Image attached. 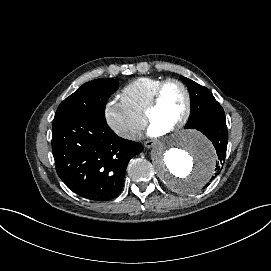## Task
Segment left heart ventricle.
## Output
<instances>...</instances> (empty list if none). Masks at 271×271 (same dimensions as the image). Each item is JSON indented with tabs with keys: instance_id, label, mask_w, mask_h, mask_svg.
I'll list each match as a JSON object with an SVG mask.
<instances>
[{
	"instance_id": "1",
	"label": "left heart ventricle",
	"mask_w": 271,
	"mask_h": 271,
	"mask_svg": "<svg viewBox=\"0 0 271 271\" xmlns=\"http://www.w3.org/2000/svg\"><path fill=\"white\" fill-rule=\"evenodd\" d=\"M186 108L187 98L182 87L169 83L162 91L158 109L151 115V124L168 132L185 114Z\"/></svg>"
}]
</instances>
